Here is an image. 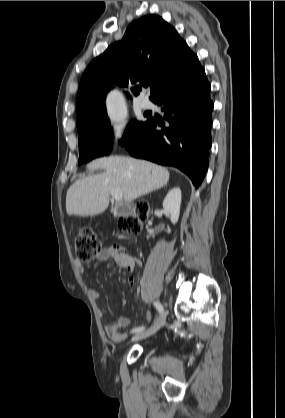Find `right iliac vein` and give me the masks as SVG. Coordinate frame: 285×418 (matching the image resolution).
<instances>
[{
    "label": "right iliac vein",
    "mask_w": 285,
    "mask_h": 418,
    "mask_svg": "<svg viewBox=\"0 0 285 418\" xmlns=\"http://www.w3.org/2000/svg\"><path fill=\"white\" fill-rule=\"evenodd\" d=\"M165 323V314L161 313L155 323L146 330H142L133 335L132 340L138 341L155 334Z\"/></svg>",
    "instance_id": "63e3f726"
}]
</instances>
